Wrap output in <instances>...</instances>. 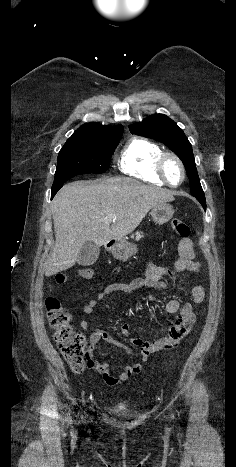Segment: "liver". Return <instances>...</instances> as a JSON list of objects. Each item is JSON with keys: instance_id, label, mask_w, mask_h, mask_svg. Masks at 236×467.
<instances>
[{"instance_id": "1", "label": "liver", "mask_w": 236, "mask_h": 467, "mask_svg": "<svg viewBox=\"0 0 236 467\" xmlns=\"http://www.w3.org/2000/svg\"><path fill=\"white\" fill-rule=\"evenodd\" d=\"M174 200L173 192L129 178L77 181L52 201L55 246L44 266L49 277L74 266L87 241L103 246L131 233L154 206ZM110 215L116 219L111 220Z\"/></svg>"}]
</instances>
